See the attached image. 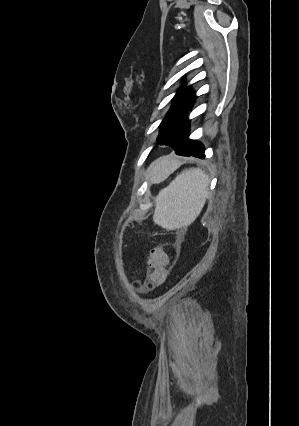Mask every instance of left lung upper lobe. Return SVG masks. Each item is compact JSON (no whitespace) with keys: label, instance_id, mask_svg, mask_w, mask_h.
Wrapping results in <instances>:
<instances>
[{"label":"left lung upper lobe","instance_id":"1","mask_svg":"<svg viewBox=\"0 0 299 426\" xmlns=\"http://www.w3.org/2000/svg\"><path fill=\"white\" fill-rule=\"evenodd\" d=\"M196 96L187 87L181 88L173 99V105L161 122V132L158 136L157 143L160 145L171 146L179 135L188 126L189 110L193 106Z\"/></svg>","mask_w":299,"mask_h":426}]
</instances>
